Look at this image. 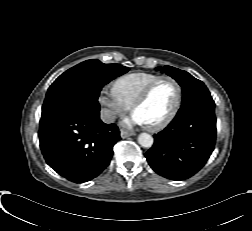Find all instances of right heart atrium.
<instances>
[{"label": "right heart atrium", "mask_w": 252, "mask_h": 231, "mask_svg": "<svg viewBox=\"0 0 252 231\" xmlns=\"http://www.w3.org/2000/svg\"><path fill=\"white\" fill-rule=\"evenodd\" d=\"M98 102L102 108V119L107 123H111L116 118L122 117L131 108V106L120 97L114 86L104 87L98 96Z\"/></svg>", "instance_id": "1"}]
</instances>
